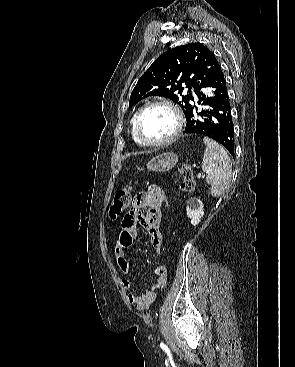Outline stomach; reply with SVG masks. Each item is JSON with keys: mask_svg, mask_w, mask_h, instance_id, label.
<instances>
[{"mask_svg": "<svg viewBox=\"0 0 295 367\" xmlns=\"http://www.w3.org/2000/svg\"><path fill=\"white\" fill-rule=\"evenodd\" d=\"M177 162L178 156L172 152H167L152 158L147 163V168L151 171L166 172L171 170Z\"/></svg>", "mask_w": 295, "mask_h": 367, "instance_id": "obj_1", "label": "stomach"}]
</instances>
